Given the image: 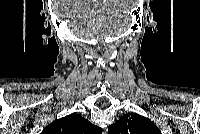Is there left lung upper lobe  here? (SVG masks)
<instances>
[{"instance_id":"obj_1","label":"left lung upper lobe","mask_w":200,"mask_h":134,"mask_svg":"<svg viewBox=\"0 0 200 134\" xmlns=\"http://www.w3.org/2000/svg\"><path fill=\"white\" fill-rule=\"evenodd\" d=\"M109 134H161L159 128L148 118L135 113L122 116L108 127Z\"/></svg>"}]
</instances>
